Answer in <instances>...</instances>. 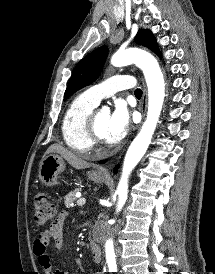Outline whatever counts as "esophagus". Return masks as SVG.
<instances>
[{
  "mask_svg": "<svg viewBox=\"0 0 215 274\" xmlns=\"http://www.w3.org/2000/svg\"><path fill=\"white\" fill-rule=\"evenodd\" d=\"M143 87H144V94L141 102V113L143 118L145 117L146 114V108H147V90H146V85L143 82ZM98 173L104 176H109L110 175V170L107 167H102L98 170Z\"/></svg>",
  "mask_w": 215,
  "mask_h": 274,
  "instance_id": "obj_1",
  "label": "esophagus"
}]
</instances>
